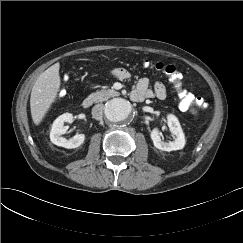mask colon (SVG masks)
<instances>
[{
    "label": "colon",
    "instance_id": "1",
    "mask_svg": "<svg viewBox=\"0 0 243 243\" xmlns=\"http://www.w3.org/2000/svg\"><path fill=\"white\" fill-rule=\"evenodd\" d=\"M143 65L147 68L155 69L164 73L169 81L174 84L176 90L178 91L181 104L185 107H192L195 111L204 110L207 107V102L203 98L198 97L194 99L193 96L186 93L181 88L182 75L176 66L161 62L152 63L148 60L143 61Z\"/></svg>",
    "mask_w": 243,
    "mask_h": 243
}]
</instances>
